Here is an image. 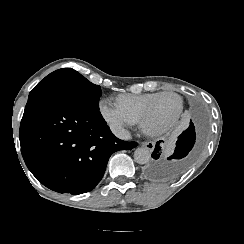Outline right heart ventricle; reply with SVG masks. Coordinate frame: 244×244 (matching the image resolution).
Masks as SVG:
<instances>
[{
	"label": "right heart ventricle",
	"mask_w": 244,
	"mask_h": 244,
	"mask_svg": "<svg viewBox=\"0 0 244 244\" xmlns=\"http://www.w3.org/2000/svg\"><path fill=\"white\" fill-rule=\"evenodd\" d=\"M152 95H157V94H148V95H142V96H140L138 94H132L130 96L122 95V96H118L114 100V104L116 107H121L116 104V101L118 99L124 100L125 103L128 104V106L130 108H132L134 111L133 122L142 123L146 118L152 117L154 115V106L152 108V112H147V106H148L150 99H152ZM156 101L157 100H155V102Z\"/></svg>",
	"instance_id": "obj_1"
}]
</instances>
